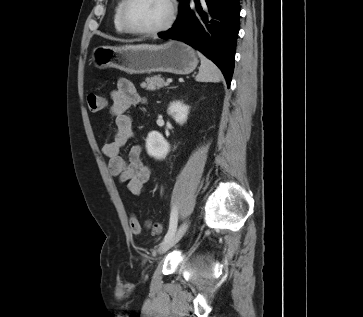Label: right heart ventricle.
<instances>
[{
    "instance_id": "1",
    "label": "right heart ventricle",
    "mask_w": 363,
    "mask_h": 317,
    "mask_svg": "<svg viewBox=\"0 0 363 317\" xmlns=\"http://www.w3.org/2000/svg\"><path fill=\"white\" fill-rule=\"evenodd\" d=\"M123 2H124V0H118L115 5L114 12H113L114 28H115L116 32L119 34L127 33V31L122 26L121 18H120V12H121V7H122Z\"/></svg>"
}]
</instances>
